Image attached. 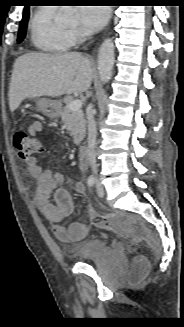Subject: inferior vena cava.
Segmentation results:
<instances>
[{
	"mask_svg": "<svg viewBox=\"0 0 184 327\" xmlns=\"http://www.w3.org/2000/svg\"><path fill=\"white\" fill-rule=\"evenodd\" d=\"M87 126H88V159L92 168V171L97 175V164H96V138H97V127L94 119V113L90 110L87 113Z\"/></svg>",
	"mask_w": 184,
	"mask_h": 327,
	"instance_id": "inferior-vena-cava-1",
	"label": "inferior vena cava"
}]
</instances>
